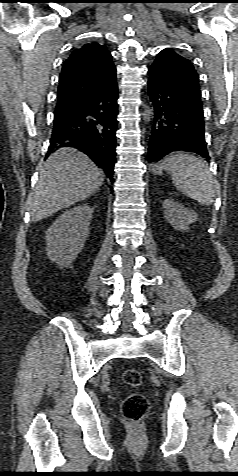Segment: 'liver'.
<instances>
[{
    "label": "liver",
    "instance_id": "obj_1",
    "mask_svg": "<svg viewBox=\"0 0 238 476\" xmlns=\"http://www.w3.org/2000/svg\"><path fill=\"white\" fill-rule=\"evenodd\" d=\"M104 172L74 148H61L49 156L28 197L32 221H40L82 201L103 184Z\"/></svg>",
    "mask_w": 238,
    "mask_h": 476
}]
</instances>
